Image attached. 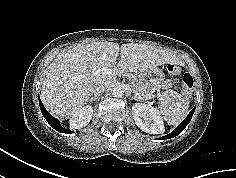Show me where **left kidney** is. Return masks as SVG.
<instances>
[{
  "label": "left kidney",
  "mask_w": 236,
  "mask_h": 178,
  "mask_svg": "<svg viewBox=\"0 0 236 178\" xmlns=\"http://www.w3.org/2000/svg\"><path fill=\"white\" fill-rule=\"evenodd\" d=\"M133 119L136 125L149 134H162L164 124L158 110L149 104L135 103L132 106Z\"/></svg>",
  "instance_id": "5707ae66"
}]
</instances>
